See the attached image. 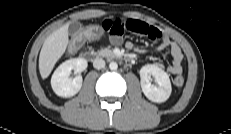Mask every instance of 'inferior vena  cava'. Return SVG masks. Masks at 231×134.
<instances>
[{"label":"inferior vena cava","instance_id":"1","mask_svg":"<svg viewBox=\"0 0 231 134\" xmlns=\"http://www.w3.org/2000/svg\"><path fill=\"white\" fill-rule=\"evenodd\" d=\"M93 66H94V68H96L98 70L102 69L105 67V61L102 58H96L93 61Z\"/></svg>","mask_w":231,"mask_h":134}]
</instances>
